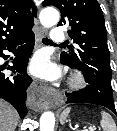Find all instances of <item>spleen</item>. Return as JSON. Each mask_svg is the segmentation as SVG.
I'll use <instances>...</instances> for the list:
<instances>
[{
	"instance_id": "3e777b00",
	"label": "spleen",
	"mask_w": 117,
	"mask_h": 131,
	"mask_svg": "<svg viewBox=\"0 0 117 131\" xmlns=\"http://www.w3.org/2000/svg\"><path fill=\"white\" fill-rule=\"evenodd\" d=\"M70 110H71L70 108H66L62 112L61 117H60L61 123H64L68 114L70 113ZM101 116H102V119H101L100 125L103 131H117L116 124L109 113L102 111Z\"/></svg>"
}]
</instances>
